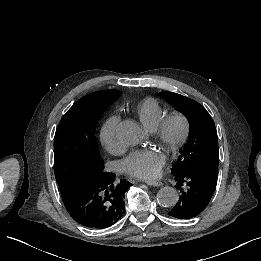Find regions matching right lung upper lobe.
<instances>
[{
	"label": "right lung upper lobe",
	"mask_w": 261,
	"mask_h": 261,
	"mask_svg": "<svg viewBox=\"0 0 261 261\" xmlns=\"http://www.w3.org/2000/svg\"><path fill=\"white\" fill-rule=\"evenodd\" d=\"M121 92L118 90H105V91H98V92H93L91 94H88L84 96L87 99H93V100H101L105 99L108 97H116L120 94Z\"/></svg>",
	"instance_id": "right-lung-upper-lobe-1"
}]
</instances>
